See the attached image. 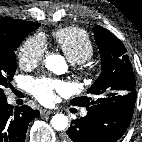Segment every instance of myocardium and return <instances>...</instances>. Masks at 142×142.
Masks as SVG:
<instances>
[{"label":"myocardium","mask_w":142,"mask_h":142,"mask_svg":"<svg viewBox=\"0 0 142 142\" xmlns=\"http://www.w3.org/2000/svg\"><path fill=\"white\" fill-rule=\"evenodd\" d=\"M78 71L83 77H90L94 73V69L88 65L81 66Z\"/></svg>","instance_id":"1"}]
</instances>
